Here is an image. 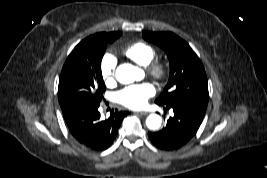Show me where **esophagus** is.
I'll use <instances>...</instances> for the list:
<instances>
[{"instance_id": "1", "label": "esophagus", "mask_w": 267, "mask_h": 178, "mask_svg": "<svg viewBox=\"0 0 267 178\" xmlns=\"http://www.w3.org/2000/svg\"><path fill=\"white\" fill-rule=\"evenodd\" d=\"M136 114L145 116V115L148 114V112H146V111H140V112H136Z\"/></svg>"}]
</instances>
